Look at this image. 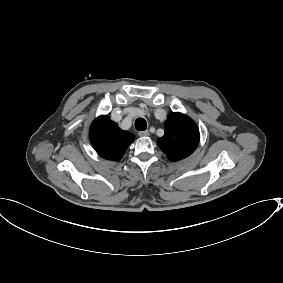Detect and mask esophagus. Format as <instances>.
I'll return each instance as SVG.
<instances>
[{
    "label": "esophagus",
    "instance_id": "34e87169",
    "mask_svg": "<svg viewBox=\"0 0 283 283\" xmlns=\"http://www.w3.org/2000/svg\"><path fill=\"white\" fill-rule=\"evenodd\" d=\"M138 135L140 137H146V136H149V132L148 131H139Z\"/></svg>",
    "mask_w": 283,
    "mask_h": 283
}]
</instances>
